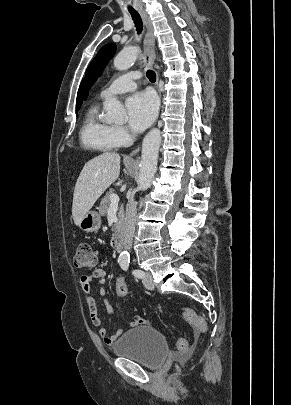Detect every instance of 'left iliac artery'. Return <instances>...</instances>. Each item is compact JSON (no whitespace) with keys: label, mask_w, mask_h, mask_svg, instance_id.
Instances as JSON below:
<instances>
[{"label":"left iliac artery","mask_w":291,"mask_h":405,"mask_svg":"<svg viewBox=\"0 0 291 405\" xmlns=\"http://www.w3.org/2000/svg\"><path fill=\"white\" fill-rule=\"evenodd\" d=\"M120 266L124 271H127L129 268V261L121 262ZM132 274L137 278H142L144 276V272L139 269L132 270Z\"/></svg>","instance_id":"left-iliac-artery-1"}]
</instances>
